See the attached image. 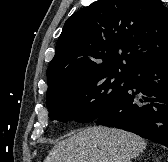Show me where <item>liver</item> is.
<instances>
[{"label": "liver", "mask_w": 168, "mask_h": 162, "mask_svg": "<svg viewBox=\"0 0 168 162\" xmlns=\"http://www.w3.org/2000/svg\"><path fill=\"white\" fill-rule=\"evenodd\" d=\"M146 146L134 133L89 127L57 143L43 162H131Z\"/></svg>", "instance_id": "obj_1"}]
</instances>
